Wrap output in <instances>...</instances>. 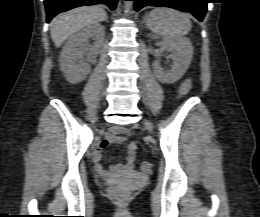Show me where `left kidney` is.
Here are the masks:
<instances>
[{
  "mask_svg": "<svg viewBox=\"0 0 260 217\" xmlns=\"http://www.w3.org/2000/svg\"><path fill=\"white\" fill-rule=\"evenodd\" d=\"M160 44L163 50L171 53L173 64L169 70H164L160 62L155 61L153 63L154 73L161 83H175L188 69L193 56V48L186 39L176 37H164Z\"/></svg>",
  "mask_w": 260,
  "mask_h": 217,
  "instance_id": "1",
  "label": "left kidney"
}]
</instances>
